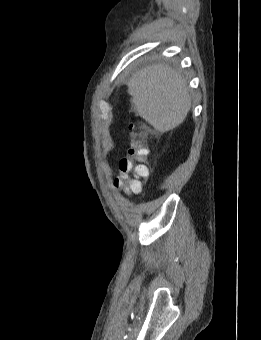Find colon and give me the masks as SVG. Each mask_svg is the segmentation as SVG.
Instances as JSON below:
<instances>
[{
  "label": "colon",
  "mask_w": 261,
  "mask_h": 340,
  "mask_svg": "<svg viewBox=\"0 0 261 340\" xmlns=\"http://www.w3.org/2000/svg\"><path fill=\"white\" fill-rule=\"evenodd\" d=\"M130 129V145L128 156L119 162L121 175L115 180V185L127 194H136L141 190L140 178L148 174L147 167L142 164L148 155V148L145 145L144 135L135 131L133 125Z\"/></svg>",
  "instance_id": "obj_1"
}]
</instances>
